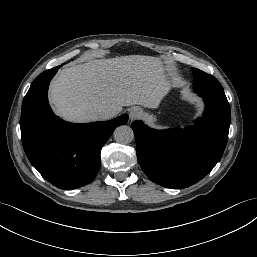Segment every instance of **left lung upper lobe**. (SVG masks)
Masks as SVG:
<instances>
[{"instance_id":"5c2ea615","label":"left lung upper lobe","mask_w":257,"mask_h":257,"mask_svg":"<svg viewBox=\"0 0 257 257\" xmlns=\"http://www.w3.org/2000/svg\"><path fill=\"white\" fill-rule=\"evenodd\" d=\"M192 70L195 92L224 93L221 84L215 77L196 68H192Z\"/></svg>"}]
</instances>
